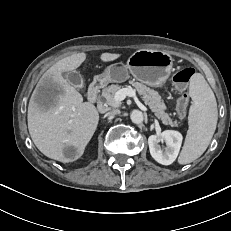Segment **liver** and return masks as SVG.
I'll return each instance as SVG.
<instances>
[{"instance_id": "obj_1", "label": "liver", "mask_w": 231, "mask_h": 231, "mask_svg": "<svg viewBox=\"0 0 231 231\" xmlns=\"http://www.w3.org/2000/svg\"><path fill=\"white\" fill-rule=\"evenodd\" d=\"M121 54L102 53L110 62ZM86 59L84 52L74 53L51 66L39 80L28 105V130L36 147L47 157L67 163L80 157L91 140L99 121L96 107L83 102L82 95L62 76L72 72ZM68 147L75 149L66 157Z\"/></svg>"}]
</instances>
